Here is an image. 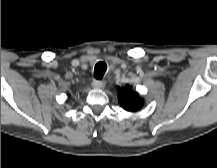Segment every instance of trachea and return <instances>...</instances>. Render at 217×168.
Masks as SVG:
<instances>
[{
    "label": "trachea",
    "instance_id": "obj_1",
    "mask_svg": "<svg viewBox=\"0 0 217 168\" xmlns=\"http://www.w3.org/2000/svg\"><path fill=\"white\" fill-rule=\"evenodd\" d=\"M106 64L103 62H98L94 68V77L98 80L102 79L106 72Z\"/></svg>",
    "mask_w": 217,
    "mask_h": 168
}]
</instances>
